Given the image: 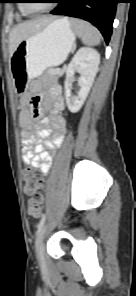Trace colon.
<instances>
[{
	"label": "colon",
	"mask_w": 136,
	"mask_h": 296,
	"mask_svg": "<svg viewBox=\"0 0 136 296\" xmlns=\"http://www.w3.org/2000/svg\"><path fill=\"white\" fill-rule=\"evenodd\" d=\"M25 191L30 195L28 202L29 213L37 217L43 208L44 196L42 190L44 181L32 169H27L24 173Z\"/></svg>",
	"instance_id": "5ec220e1"
}]
</instances>
